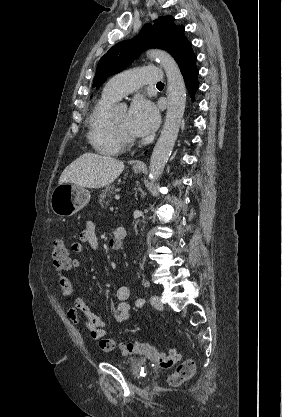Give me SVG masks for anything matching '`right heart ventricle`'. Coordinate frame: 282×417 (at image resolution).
<instances>
[{"instance_id":"obj_1","label":"right heart ventricle","mask_w":282,"mask_h":417,"mask_svg":"<svg viewBox=\"0 0 282 417\" xmlns=\"http://www.w3.org/2000/svg\"><path fill=\"white\" fill-rule=\"evenodd\" d=\"M115 100L102 96L88 118V140L99 151L112 154L120 144L110 127L111 106Z\"/></svg>"}]
</instances>
